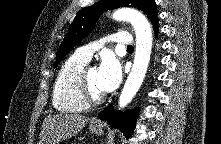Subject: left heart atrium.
Wrapping results in <instances>:
<instances>
[{
    "label": "left heart atrium",
    "instance_id": "1",
    "mask_svg": "<svg viewBox=\"0 0 221 144\" xmlns=\"http://www.w3.org/2000/svg\"><path fill=\"white\" fill-rule=\"evenodd\" d=\"M122 79V66L113 55H105L98 68L97 84L102 92H112Z\"/></svg>",
    "mask_w": 221,
    "mask_h": 144
}]
</instances>
